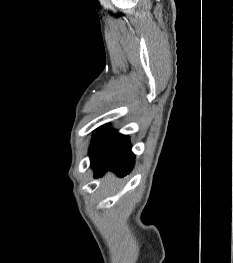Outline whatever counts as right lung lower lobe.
Returning <instances> with one entry per match:
<instances>
[{
  "label": "right lung lower lobe",
  "instance_id": "obj_1",
  "mask_svg": "<svg viewBox=\"0 0 233 263\" xmlns=\"http://www.w3.org/2000/svg\"><path fill=\"white\" fill-rule=\"evenodd\" d=\"M89 156L95 177L102 176L108 170L123 176L134 166L135 155L131 152L129 137L110 129L109 125L95 131Z\"/></svg>",
  "mask_w": 233,
  "mask_h": 263
}]
</instances>
